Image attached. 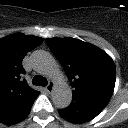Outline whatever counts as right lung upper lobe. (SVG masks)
I'll return each instance as SVG.
<instances>
[{
    "label": "right lung upper lobe",
    "instance_id": "right-lung-upper-lobe-1",
    "mask_svg": "<svg viewBox=\"0 0 128 128\" xmlns=\"http://www.w3.org/2000/svg\"><path fill=\"white\" fill-rule=\"evenodd\" d=\"M43 42L40 37L17 33L0 39V116L38 91L28 86L22 60Z\"/></svg>",
    "mask_w": 128,
    "mask_h": 128
}]
</instances>
